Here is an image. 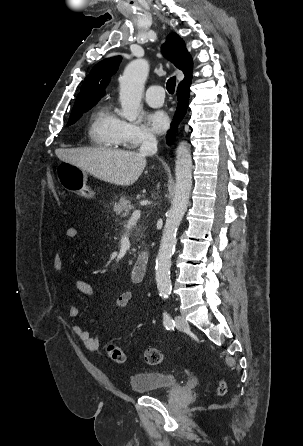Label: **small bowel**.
<instances>
[{"instance_id":"1","label":"small bowel","mask_w":303,"mask_h":446,"mask_svg":"<svg viewBox=\"0 0 303 446\" xmlns=\"http://www.w3.org/2000/svg\"><path fill=\"white\" fill-rule=\"evenodd\" d=\"M66 237L69 239H75L79 236V230L76 227H69L66 232ZM53 268L54 271L61 275L63 273V260L60 255V253H56L53 258ZM75 287L78 292H80L83 295L94 297V298H100L98 292L96 289L87 281L85 280H77L75 282ZM133 297L132 291H125L121 293L116 301L115 306L117 309H124L128 303L131 301ZM68 313L71 318H77L79 316V309L75 305H70L68 308ZM73 332L75 335L82 341L85 348L88 351L91 352H98L100 345L99 341L92 337L91 334L85 330L82 326L75 324L73 326Z\"/></svg>"}]
</instances>
